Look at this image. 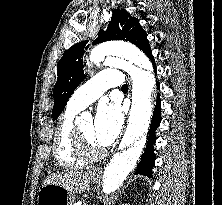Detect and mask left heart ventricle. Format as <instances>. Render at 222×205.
<instances>
[{
  "label": "left heart ventricle",
  "instance_id": "obj_1",
  "mask_svg": "<svg viewBox=\"0 0 222 205\" xmlns=\"http://www.w3.org/2000/svg\"><path fill=\"white\" fill-rule=\"evenodd\" d=\"M82 135L84 136L87 143L93 148V149H101L102 147L99 146L95 140L94 137V130H93V122L91 120L84 121L79 126Z\"/></svg>",
  "mask_w": 222,
  "mask_h": 205
}]
</instances>
